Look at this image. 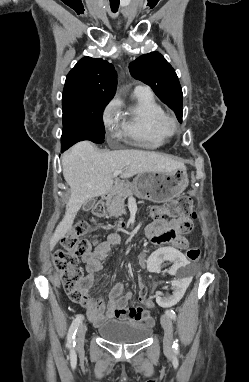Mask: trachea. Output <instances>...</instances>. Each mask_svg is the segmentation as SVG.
I'll return each mask as SVG.
<instances>
[{"instance_id": "trachea-1", "label": "trachea", "mask_w": 249, "mask_h": 382, "mask_svg": "<svg viewBox=\"0 0 249 382\" xmlns=\"http://www.w3.org/2000/svg\"><path fill=\"white\" fill-rule=\"evenodd\" d=\"M110 7H111L112 12L116 13L118 11V8H119V0H118V2L110 1Z\"/></svg>"}]
</instances>
